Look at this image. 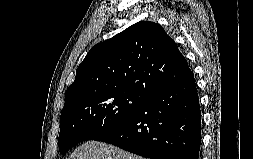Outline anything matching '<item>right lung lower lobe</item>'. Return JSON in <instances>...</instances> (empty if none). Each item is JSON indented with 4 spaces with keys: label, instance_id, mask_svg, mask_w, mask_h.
Listing matches in <instances>:
<instances>
[{
    "label": "right lung lower lobe",
    "instance_id": "1",
    "mask_svg": "<svg viewBox=\"0 0 253 159\" xmlns=\"http://www.w3.org/2000/svg\"><path fill=\"white\" fill-rule=\"evenodd\" d=\"M92 140L150 159H198L201 111L193 74L150 93L128 118Z\"/></svg>",
    "mask_w": 253,
    "mask_h": 159
}]
</instances>
